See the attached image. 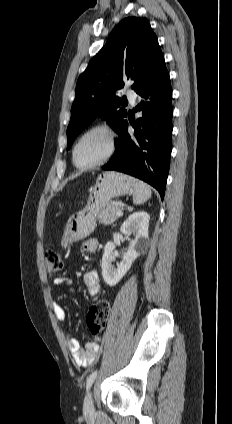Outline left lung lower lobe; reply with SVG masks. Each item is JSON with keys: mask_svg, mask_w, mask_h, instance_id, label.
Wrapping results in <instances>:
<instances>
[{"mask_svg": "<svg viewBox=\"0 0 232 424\" xmlns=\"http://www.w3.org/2000/svg\"><path fill=\"white\" fill-rule=\"evenodd\" d=\"M135 92L140 96L135 111L142 115L131 123L134 134H128L125 119L115 142V153L104 170H115L139 178L165 194L171 156L172 89L164 58L149 78Z\"/></svg>", "mask_w": 232, "mask_h": 424, "instance_id": "0a47b994", "label": "left lung lower lobe"}]
</instances>
